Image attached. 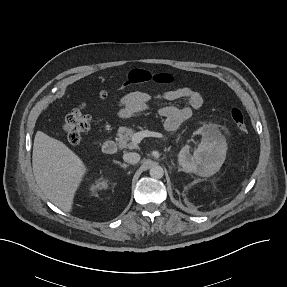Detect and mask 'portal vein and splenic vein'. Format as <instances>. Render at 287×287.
<instances>
[{"label": "portal vein and splenic vein", "instance_id": "obj_1", "mask_svg": "<svg viewBox=\"0 0 287 287\" xmlns=\"http://www.w3.org/2000/svg\"><path fill=\"white\" fill-rule=\"evenodd\" d=\"M145 137H157V138H162L163 135L161 133L158 132H153V131H149V130H143L140 132H136L133 134L132 136V142L134 144H138L142 141L143 138Z\"/></svg>", "mask_w": 287, "mask_h": 287}]
</instances>
